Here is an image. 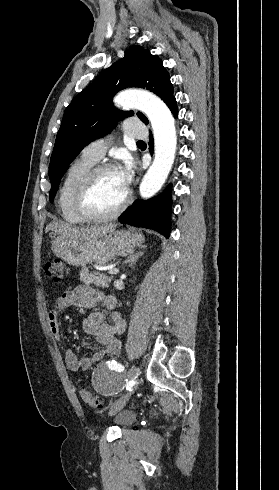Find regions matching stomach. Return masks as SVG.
Masks as SVG:
<instances>
[{
    "instance_id": "stomach-1",
    "label": "stomach",
    "mask_w": 279,
    "mask_h": 490,
    "mask_svg": "<svg viewBox=\"0 0 279 490\" xmlns=\"http://www.w3.org/2000/svg\"><path fill=\"white\" fill-rule=\"evenodd\" d=\"M144 236L140 230L129 228V230H116L112 228L104 236L92 238L89 242L82 240H68L57 236L51 242L54 256L67 262L69 266L85 268L86 264H97L106 266L116 256L129 254L133 248L143 244Z\"/></svg>"
}]
</instances>
